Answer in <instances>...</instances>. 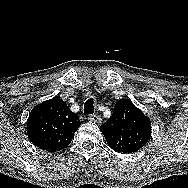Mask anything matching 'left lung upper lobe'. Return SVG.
Masks as SVG:
<instances>
[{
    "label": "left lung upper lobe",
    "instance_id": "left-lung-upper-lobe-1",
    "mask_svg": "<svg viewBox=\"0 0 188 188\" xmlns=\"http://www.w3.org/2000/svg\"><path fill=\"white\" fill-rule=\"evenodd\" d=\"M110 148L118 153H133L149 140L151 121L128 99L119 100L113 115L101 125Z\"/></svg>",
    "mask_w": 188,
    "mask_h": 188
}]
</instances>
